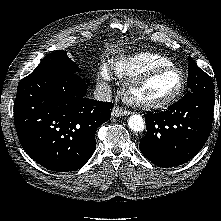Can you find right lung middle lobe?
Returning a JSON list of instances; mask_svg holds the SVG:
<instances>
[{
    "mask_svg": "<svg viewBox=\"0 0 221 221\" xmlns=\"http://www.w3.org/2000/svg\"><path fill=\"white\" fill-rule=\"evenodd\" d=\"M72 72L78 74L79 68L68 56L67 51H57L48 54L42 62L27 77H34L46 72Z\"/></svg>",
    "mask_w": 221,
    "mask_h": 221,
    "instance_id": "obj_1",
    "label": "right lung middle lobe"
}]
</instances>
